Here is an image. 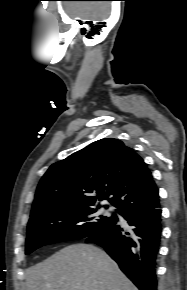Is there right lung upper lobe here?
Here are the masks:
<instances>
[{"label":"right lung upper lobe","instance_id":"right-lung-upper-lobe-1","mask_svg":"<svg viewBox=\"0 0 187 290\" xmlns=\"http://www.w3.org/2000/svg\"><path fill=\"white\" fill-rule=\"evenodd\" d=\"M104 199L119 213L159 205L158 188L146 163L113 138L93 142L47 170L37 187L28 225L51 213Z\"/></svg>","mask_w":187,"mask_h":290}]
</instances>
